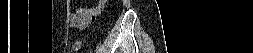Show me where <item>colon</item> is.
<instances>
[{"label":"colon","instance_id":"colon-1","mask_svg":"<svg viewBox=\"0 0 253 53\" xmlns=\"http://www.w3.org/2000/svg\"><path fill=\"white\" fill-rule=\"evenodd\" d=\"M83 46V41L82 40H77L73 44V50L74 52H79Z\"/></svg>","mask_w":253,"mask_h":53}]
</instances>
